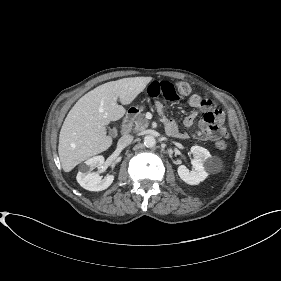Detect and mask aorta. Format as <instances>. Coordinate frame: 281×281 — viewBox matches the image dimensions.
<instances>
[{
	"label": "aorta",
	"mask_w": 281,
	"mask_h": 281,
	"mask_svg": "<svg viewBox=\"0 0 281 281\" xmlns=\"http://www.w3.org/2000/svg\"><path fill=\"white\" fill-rule=\"evenodd\" d=\"M144 145L148 148H152L156 145V139L152 135H146L144 137Z\"/></svg>",
	"instance_id": "obj_1"
}]
</instances>
